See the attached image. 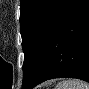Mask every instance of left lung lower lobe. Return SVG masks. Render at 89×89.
<instances>
[{
	"mask_svg": "<svg viewBox=\"0 0 89 89\" xmlns=\"http://www.w3.org/2000/svg\"><path fill=\"white\" fill-rule=\"evenodd\" d=\"M89 82V0H73L56 27L35 77L25 89L53 78Z\"/></svg>",
	"mask_w": 89,
	"mask_h": 89,
	"instance_id": "0a47b994",
	"label": "left lung lower lobe"
}]
</instances>
